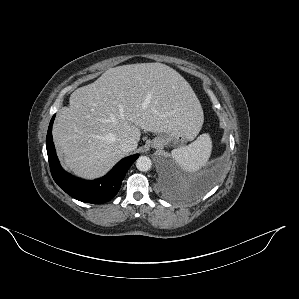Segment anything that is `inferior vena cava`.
Instances as JSON below:
<instances>
[{
  "label": "inferior vena cava",
  "mask_w": 299,
  "mask_h": 299,
  "mask_svg": "<svg viewBox=\"0 0 299 299\" xmlns=\"http://www.w3.org/2000/svg\"><path fill=\"white\" fill-rule=\"evenodd\" d=\"M120 148L126 153L131 152L137 148V141L131 137L124 138L120 141Z\"/></svg>",
  "instance_id": "1"
}]
</instances>
